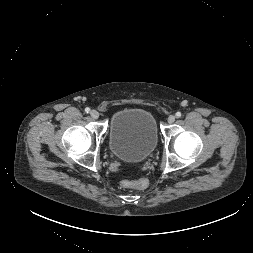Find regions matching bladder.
<instances>
[{
	"instance_id": "31cf9c89",
	"label": "bladder",
	"mask_w": 253,
	"mask_h": 253,
	"mask_svg": "<svg viewBox=\"0 0 253 253\" xmlns=\"http://www.w3.org/2000/svg\"><path fill=\"white\" fill-rule=\"evenodd\" d=\"M108 144L111 153L124 162L145 161L158 144L157 124L153 114L138 107L116 111L110 119Z\"/></svg>"
}]
</instances>
